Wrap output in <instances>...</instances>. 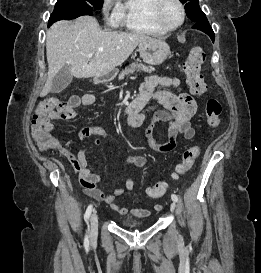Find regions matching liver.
I'll use <instances>...</instances> for the list:
<instances>
[{
    "mask_svg": "<svg viewBox=\"0 0 261 273\" xmlns=\"http://www.w3.org/2000/svg\"><path fill=\"white\" fill-rule=\"evenodd\" d=\"M148 39L151 38L135 32L102 31L92 16L54 23L47 31L48 76L40 97L51 91L52 81L64 65L71 67L76 78L103 77L122 65ZM90 53L92 58L87 57Z\"/></svg>",
    "mask_w": 261,
    "mask_h": 273,
    "instance_id": "6515ba94",
    "label": "liver"
}]
</instances>
